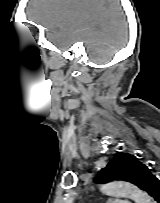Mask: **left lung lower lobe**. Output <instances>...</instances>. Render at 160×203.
Returning <instances> with one entry per match:
<instances>
[{"label": "left lung lower lobe", "mask_w": 160, "mask_h": 203, "mask_svg": "<svg viewBox=\"0 0 160 203\" xmlns=\"http://www.w3.org/2000/svg\"><path fill=\"white\" fill-rule=\"evenodd\" d=\"M149 195L155 202L160 203V179L156 178L153 186L150 189Z\"/></svg>", "instance_id": "obj_1"}]
</instances>
